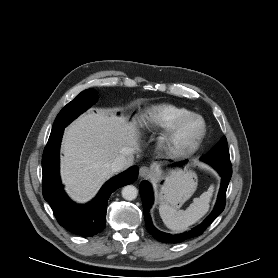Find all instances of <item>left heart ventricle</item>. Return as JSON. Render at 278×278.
Returning a JSON list of instances; mask_svg holds the SVG:
<instances>
[{"label":"left heart ventricle","mask_w":278,"mask_h":278,"mask_svg":"<svg viewBox=\"0 0 278 278\" xmlns=\"http://www.w3.org/2000/svg\"><path fill=\"white\" fill-rule=\"evenodd\" d=\"M200 123L196 120L189 121L181 130L179 140L183 143L191 142L200 132Z\"/></svg>","instance_id":"obj_1"}]
</instances>
